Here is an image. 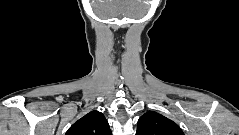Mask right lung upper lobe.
<instances>
[{
	"label": "right lung upper lobe",
	"mask_w": 239,
	"mask_h": 135,
	"mask_svg": "<svg viewBox=\"0 0 239 135\" xmlns=\"http://www.w3.org/2000/svg\"><path fill=\"white\" fill-rule=\"evenodd\" d=\"M65 135H112V133L104 115L94 110L75 122Z\"/></svg>",
	"instance_id": "cb5924a9"
}]
</instances>
